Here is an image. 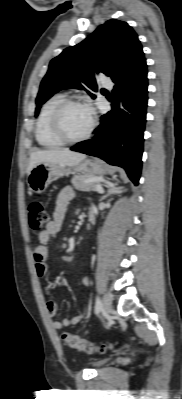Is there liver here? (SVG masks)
I'll use <instances>...</instances> for the list:
<instances>
[{"label":"liver","mask_w":182,"mask_h":399,"mask_svg":"<svg viewBox=\"0 0 182 399\" xmlns=\"http://www.w3.org/2000/svg\"><path fill=\"white\" fill-rule=\"evenodd\" d=\"M86 158V155L69 149L40 150L31 153L27 174L40 163H56L63 166H75Z\"/></svg>","instance_id":"1"}]
</instances>
